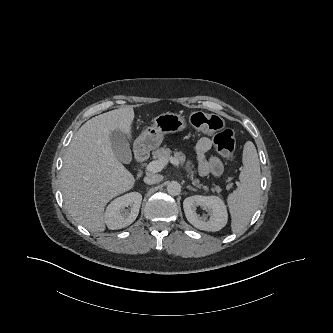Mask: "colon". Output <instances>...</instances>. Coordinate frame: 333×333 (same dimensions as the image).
Segmentation results:
<instances>
[{"label":"colon","instance_id":"5ec220e1","mask_svg":"<svg viewBox=\"0 0 333 333\" xmlns=\"http://www.w3.org/2000/svg\"><path fill=\"white\" fill-rule=\"evenodd\" d=\"M194 128L202 132L216 133L213 139L216 150L229 162L235 159L236 140L234 132L224 128L220 117L204 112H195L190 117Z\"/></svg>","mask_w":333,"mask_h":333}]
</instances>
